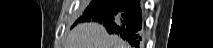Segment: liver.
Segmentation results:
<instances>
[{"label":"liver","mask_w":213,"mask_h":48,"mask_svg":"<svg viewBox=\"0 0 213 48\" xmlns=\"http://www.w3.org/2000/svg\"><path fill=\"white\" fill-rule=\"evenodd\" d=\"M65 48H129V45L115 35H109L103 25L80 23L69 33Z\"/></svg>","instance_id":"obj_1"}]
</instances>
